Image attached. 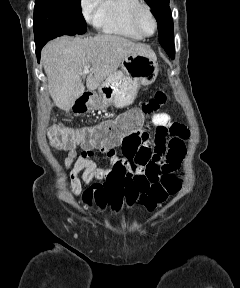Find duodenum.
Listing matches in <instances>:
<instances>
[{
    "label": "duodenum",
    "mask_w": 240,
    "mask_h": 288,
    "mask_svg": "<svg viewBox=\"0 0 240 288\" xmlns=\"http://www.w3.org/2000/svg\"><path fill=\"white\" fill-rule=\"evenodd\" d=\"M90 96L89 95H83L80 97L77 103L78 112H85L87 110V104L89 103Z\"/></svg>",
    "instance_id": "obj_1"
}]
</instances>
